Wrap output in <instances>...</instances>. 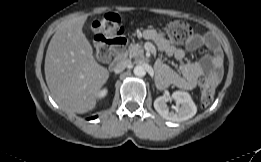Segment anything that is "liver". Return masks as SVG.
<instances>
[{"label":"liver","mask_w":261,"mask_h":162,"mask_svg":"<svg viewBox=\"0 0 261 162\" xmlns=\"http://www.w3.org/2000/svg\"><path fill=\"white\" fill-rule=\"evenodd\" d=\"M86 15L64 21L50 40L45 57V78L54 100L65 110L86 113L109 72L98 64L82 27Z\"/></svg>","instance_id":"liver-1"}]
</instances>
